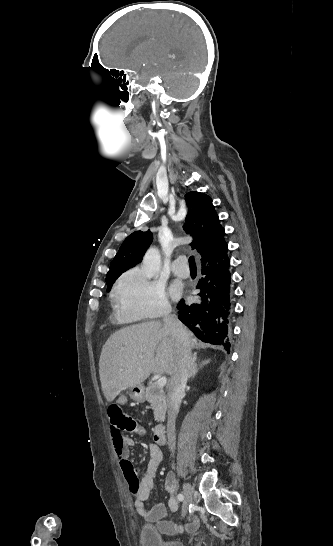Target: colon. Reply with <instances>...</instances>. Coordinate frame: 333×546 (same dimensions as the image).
<instances>
[{"mask_svg":"<svg viewBox=\"0 0 333 546\" xmlns=\"http://www.w3.org/2000/svg\"><path fill=\"white\" fill-rule=\"evenodd\" d=\"M107 416L109 418H122L124 416V409L120 400H111L109 402Z\"/></svg>","mask_w":333,"mask_h":546,"instance_id":"obj_1","label":"colon"}]
</instances>
